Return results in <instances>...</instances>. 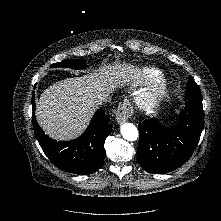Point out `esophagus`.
<instances>
[{
	"label": "esophagus",
	"mask_w": 221,
	"mask_h": 221,
	"mask_svg": "<svg viewBox=\"0 0 221 221\" xmlns=\"http://www.w3.org/2000/svg\"><path fill=\"white\" fill-rule=\"evenodd\" d=\"M133 115V109L131 105L124 101L116 110V121L122 124L128 120Z\"/></svg>",
	"instance_id": "1"
}]
</instances>
